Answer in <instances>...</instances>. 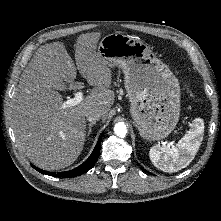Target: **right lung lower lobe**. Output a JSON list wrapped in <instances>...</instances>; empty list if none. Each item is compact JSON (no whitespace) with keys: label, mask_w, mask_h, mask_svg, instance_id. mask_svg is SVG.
<instances>
[{"label":"right lung lower lobe","mask_w":221,"mask_h":221,"mask_svg":"<svg viewBox=\"0 0 221 221\" xmlns=\"http://www.w3.org/2000/svg\"><path fill=\"white\" fill-rule=\"evenodd\" d=\"M101 140H102V135L100 136L92 154L89 156V158L80 166L76 167L75 169L65 171V172H48L41 170L39 168H36L35 166L32 165L33 168H35L37 171L43 174L51 175L54 177H65V178H71V177H77L80 176L83 173H86L88 170H90L96 163V161L99 158L100 154V147H101Z\"/></svg>","instance_id":"obj_1"}]
</instances>
